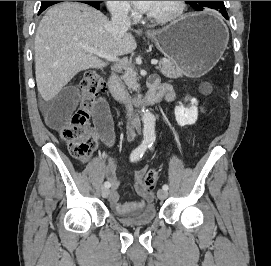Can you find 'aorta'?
I'll return each mask as SVG.
<instances>
[{"label":"aorta","instance_id":"762f6f07","mask_svg":"<svg viewBox=\"0 0 271 266\" xmlns=\"http://www.w3.org/2000/svg\"><path fill=\"white\" fill-rule=\"evenodd\" d=\"M143 136L145 140H153L155 138V117L148 110H143Z\"/></svg>","mask_w":271,"mask_h":266}]
</instances>
